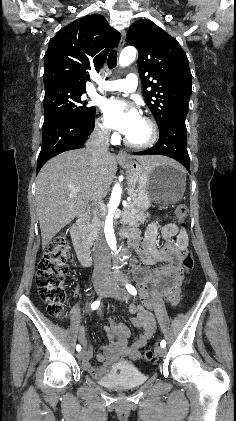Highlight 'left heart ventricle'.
Here are the masks:
<instances>
[{
    "mask_svg": "<svg viewBox=\"0 0 236 421\" xmlns=\"http://www.w3.org/2000/svg\"><path fill=\"white\" fill-rule=\"evenodd\" d=\"M150 130L146 122L141 119L134 130L127 135L128 138L134 142H144L149 138Z\"/></svg>",
    "mask_w": 236,
    "mask_h": 421,
    "instance_id": "1",
    "label": "left heart ventricle"
}]
</instances>
